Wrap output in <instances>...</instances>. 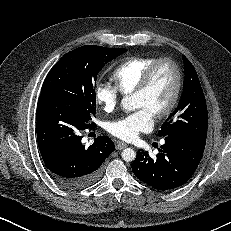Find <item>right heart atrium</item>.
I'll use <instances>...</instances> for the list:
<instances>
[{
	"label": "right heart atrium",
	"instance_id": "1",
	"mask_svg": "<svg viewBox=\"0 0 231 231\" xmlns=\"http://www.w3.org/2000/svg\"><path fill=\"white\" fill-rule=\"evenodd\" d=\"M94 97L97 104L102 106L106 112L113 111L119 103L120 92L116 86L110 83H98L94 90Z\"/></svg>",
	"mask_w": 231,
	"mask_h": 231
}]
</instances>
